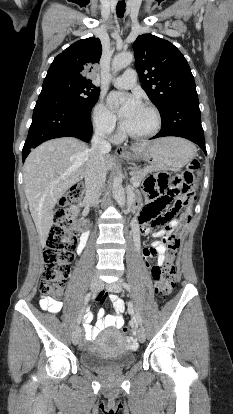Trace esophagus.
Masks as SVG:
<instances>
[{"mask_svg": "<svg viewBox=\"0 0 233 414\" xmlns=\"http://www.w3.org/2000/svg\"><path fill=\"white\" fill-rule=\"evenodd\" d=\"M116 154L117 155H124V154H126V149L122 146H118L116 148Z\"/></svg>", "mask_w": 233, "mask_h": 414, "instance_id": "esophagus-1", "label": "esophagus"}]
</instances>
